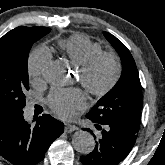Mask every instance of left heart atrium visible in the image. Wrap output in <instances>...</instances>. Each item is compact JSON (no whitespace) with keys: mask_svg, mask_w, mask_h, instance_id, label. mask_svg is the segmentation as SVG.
Instances as JSON below:
<instances>
[{"mask_svg":"<svg viewBox=\"0 0 165 165\" xmlns=\"http://www.w3.org/2000/svg\"><path fill=\"white\" fill-rule=\"evenodd\" d=\"M86 96L80 90H56L48 98L50 108L62 118H72L76 111L83 108Z\"/></svg>","mask_w":165,"mask_h":165,"instance_id":"left-heart-atrium-1","label":"left heart atrium"}]
</instances>
